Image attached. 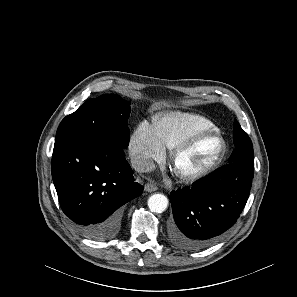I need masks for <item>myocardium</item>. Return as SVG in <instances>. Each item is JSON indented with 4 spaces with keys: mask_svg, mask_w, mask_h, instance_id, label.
<instances>
[{
    "mask_svg": "<svg viewBox=\"0 0 297 297\" xmlns=\"http://www.w3.org/2000/svg\"><path fill=\"white\" fill-rule=\"evenodd\" d=\"M208 136H215L218 138L220 142V149L216 157L203 169L191 173L185 174L176 170V161L177 159L186 151H188L196 142L200 139ZM226 154V141L225 138L221 135V133L217 129H205L192 133L188 137H186L183 141H181L177 146H175L170 154V164L179 179L184 182L192 183L196 182L210 173H212L223 161Z\"/></svg>",
    "mask_w": 297,
    "mask_h": 297,
    "instance_id": "1",
    "label": "myocardium"
}]
</instances>
